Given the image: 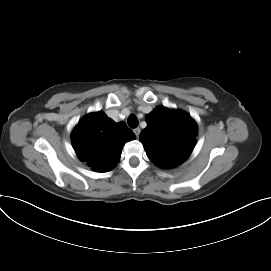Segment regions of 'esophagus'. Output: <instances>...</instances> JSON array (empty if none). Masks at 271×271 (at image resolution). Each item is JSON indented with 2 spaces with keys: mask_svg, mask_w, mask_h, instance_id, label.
Masks as SVG:
<instances>
[{
  "mask_svg": "<svg viewBox=\"0 0 271 271\" xmlns=\"http://www.w3.org/2000/svg\"><path fill=\"white\" fill-rule=\"evenodd\" d=\"M133 131H134L136 137H138L140 135L141 130L139 127L135 128Z\"/></svg>",
  "mask_w": 271,
  "mask_h": 271,
  "instance_id": "esophagus-1",
  "label": "esophagus"
}]
</instances>
